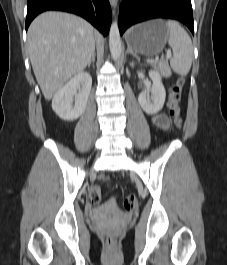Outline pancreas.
I'll use <instances>...</instances> for the list:
<instances>
[{
    "label": "pancreas",
    "mask_w": 227,
    "mask_h": 265,
    "mask_svg": "<svg viewBox=\"0 0 227 265\" xmlns=\"http://www.w3.org/2000/svg\"><path fill=\"white\" fill-rule=\"evenodd\" d=\"M157 69L161 72V74L164 77H170L171 76V70L168 67L167 63H165V62L159 63Z\"/></svg>",
    "instance_id": "obj_1"
}]
</instances>
